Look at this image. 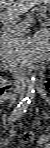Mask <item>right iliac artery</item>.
<instances>
[{
  "instance_id": "obj_1",
  "label": "right iliac artery",
  "mask_w": 50,
  "mask_h": 148,
  "mask_svg": "<svg viewBox=\"0 0 50 148\" xmlns=\"http://www.w3.org/2000/svg\"><path fill=\"white\" fill-rule=\"evenodd\" d=\"M27 103L20 102L18 106L15 108V110L12 112V114L9 117V121L13 122L17 120L24 112H26Z\"/></svg>"
}]
</instances>
